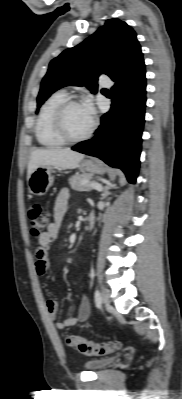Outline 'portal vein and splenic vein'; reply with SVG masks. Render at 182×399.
I'll list each match as a JSON object with an SVG mask.
<instances>
[{"mask_svg":"<svg viewBox=\"0 0 182 399\" xmlns=\"http://www.w3.org/2000/svg\"><path fill=\"white\" fill-rule=\"evenodd\" d=\"M89 187L90 188H94L97 191H102V189H103L102 185L100 183H97V182L89 183Z\"/></svg>","mask_w":182,"mask_h":399,"instance_id":"portal-vein-and-splenic-vein-1","label":"portal vein and splenic vein"}]
</instances>
